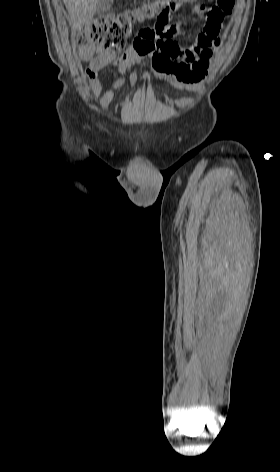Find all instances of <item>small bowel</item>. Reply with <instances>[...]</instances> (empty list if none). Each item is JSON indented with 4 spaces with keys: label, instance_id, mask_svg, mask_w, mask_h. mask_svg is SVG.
<instances>
[{
    "label": "small bowel",
    "instance_id": "obj_1",
    "mask_svg": "<svg viewBox=\"0 0 280 472\" xmlns=\"http://www.w3.org/2000/svg\"><path fill=\"white\" fill-rule=\"evenodd\" d=\"M195 1L183 0V3ZM207 11L204 5H196L193 9L199 18H203ZM221 28L222 23L214 25L206 21L194 43L181 47L175 40L181 31L180 24L157 21L153 27L140 30L132 46L117 58L107 51L88 46H79L78 53L87 63L86 75L94 95L100 99L101 107L108 109L119 88L125 83L135 85L137 82L134 66L147 61L154 76L167 80L175 88L188 91L201 89L213 51L221 42ZM110 65L118 69L120 77L104 91L98 73ZM190 101V98L184 97L175 100L174 105L182 108Z\"/></svg>",
    "mask_w": 280,
    "mask_h": 472
}]
</instances>
